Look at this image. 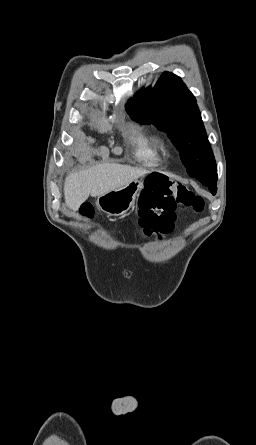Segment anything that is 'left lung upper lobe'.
Returning <instances> with one entry per match:
<instances>
[{"label":"left lung upper lobe","mask_w":256,"mask_h":445,"mask_svg":"<svg viewBox=\"0 0 256 445\" xmlns=\"http://www.w3.org/2000/svg\"><path fill=\"white\" fill-rule=\"evenodd\" d=\"M138 122L165 131L191 177L217 179V166L193 94L180 77L164 72L153 88L141 89L126 105Z\"/></svg>","instance_id":"5c2ea615"}]
</instances>
